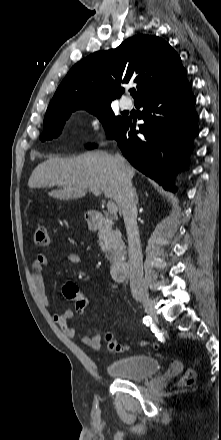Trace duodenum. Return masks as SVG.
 <instances>
[{
  "mask_svg": "<svg viewBox=\"0 0 221 440\" xmlns=\"http://www.w3.org/2000/svg\"><path fill=\"white\" fill-rule=\"evenodd\" d=\"M89 225L92 229H97L106 235L112 234L110 222L99 212H92L88 215ZM128 262L117 260L111 267V276L117 282L123 281L127 277Z\"/></svg>",
  "mask_w": 221,
  "mask_h": 440,
  "instance_id": "410a0bca",
  "label": "duodenum"
}]
</instances>
